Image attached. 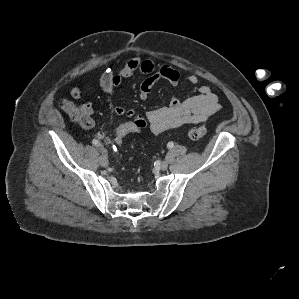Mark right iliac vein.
Masks as SVG:
<instances>
[{
    "mask_svg": "<svg viewBox=\"0 0 299 299\" xmlns=\"http://www.w3.org/2000/svg\"><path fill=\"white\" fill-rule=\"evenodd\" d=\"M100 149L103 150L102 146H100ZM99 162H100L101 166H103V167H106L109 164L108 159L105 154H102L100 156Z\"/></svg>",
    "mask_w": 299,
    "mask_h": 299,
    "instance_id": "1",
    "label": "right iliac vein"
}]
</instances>
